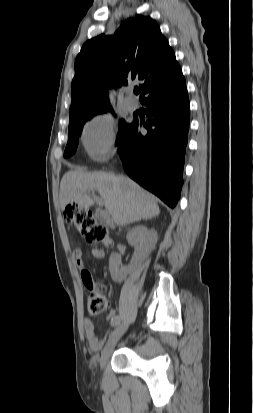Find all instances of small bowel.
<instances>
[{"mask_svg": "<svg viewBox=\"0 0 253 413\" xmlns=\"http://www.w3.org/2000/svg\"><path fill=\"white\" fill-rule=\"evenodd\" d=\"M84 249L90 250L92 256L96 259L104 258L105 252L102 248L92 243H84L73 252V255H72L73 262L80 271L82 282L84 283L86 287H88L89 285L93 284L94 281H93L90 271L86 269L84 265V261H83V250ZM116 318H117L116 312L111 311L107 318L110 325L113 326ZM84 331H85V337L87 339V342L90 348L95 352L99 351L104 345V339H100L96 336L94 323L89 316H87L84 319Z\"/></svg>", "mask_w": 253, "mask_h": 413, "instance_id": "obj_1", "label": "small bowel"}]
</instances>
